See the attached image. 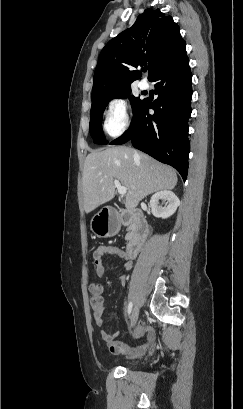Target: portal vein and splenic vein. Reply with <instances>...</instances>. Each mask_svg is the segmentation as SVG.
Returning a JSON list of instances; mask_svg holds the SVG:
<instances>
[{"mask_svg":"<svg viewBox=\"0 0 243 409\" xmlns=\"http://www.w3.org/2000/svg\"><path fill=\"white\" fill-rule=\"evenodd\" d=\"M114 185H115V187L117 188L118 193H119L121 196H125V194H126V192H127L126 187L122 186V185L120 184L119 180H117V179L114 180Z\"/></svg>","mask_w":243,"mask_h":409,"instance_id":"portal-vein-and-splenic-vein-1","label":"portal vein and splenic vein"}]
</instances>
